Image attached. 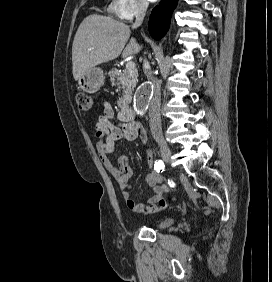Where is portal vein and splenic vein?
Returning <instances> with one entry per match:
<instances>
[{
    "instance_id": "1",
    "label": "portal vein and splenic vein",
    "mask_w": 272,
    "mask_h": 282,
    "mask_svg": "<svg viewBox=\"0 0 272 282\" xmlns=\"http://www.w3.org/2000/svg\"><path fill=\"white\" fill-rule=\"evenodd\" d=\"M135 67H136V65H135V63L132 62V61H130V62H128V63L126 64V69H127V70H134Z\"/></svg>"
}]
</instances>
